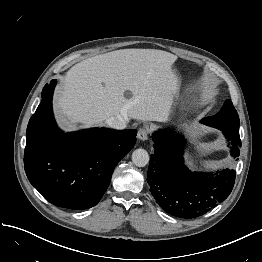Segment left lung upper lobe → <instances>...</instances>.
Listing matches in <instances>:
<instances>
[{"mask_svg": "<svg viewBox=\"0 0 262 262\" xmlns=\"http://www.w3.org/2000/svg\"><path fill=\"white\" fill-rule=\"evenodd\" d=\"M201 122L218 129L239 130V116L231 100H227L216 115L204 118Z\"/></svg>", "mask_w": 262, "mask_h": 262, "instance_id": "5c2ea615", "label": "left lung upper lobe"}]
</instances>
